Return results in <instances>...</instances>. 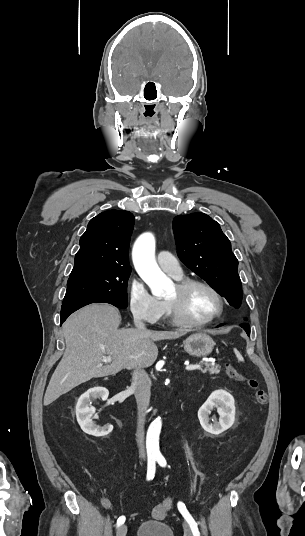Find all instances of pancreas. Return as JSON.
I'll return each instance as SVG.
<instances>
[{
	"label": "pancreas",
	"instance_id": "obj_1",
	"mask_svg": "<svg viewBox=\"0 0 305 536\" xmlns=\"http://www.w3.org/2000/svg\"><path fill=\"white\" fill-rule=\"evenodd\" d=\"M201 364H204L205 368L204 370H201L203 374H206V372H209V374H219L221 366L219 364H209V362H201Z\"/></svg>",
	"mask_w": 305,
	"mask_h": 536
}]
</instances>
